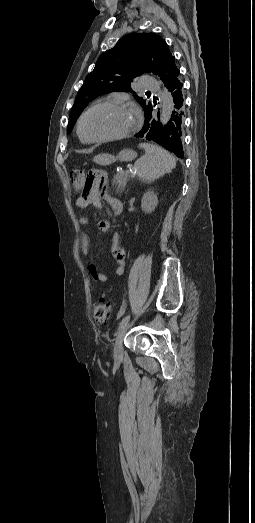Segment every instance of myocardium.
<instances>
[{
  "label": "myocardium",
  "instance_id": "1",
  "mask_svg": "<svg viewBox=\"0 0 255 523\" xmlns=\"http://www.w3.org/2000/svg\"><path fill=\"white\" fill-rule=\"evenodd\" d=\"M99 106H130V107H132L135 110L136 116H137L134 126L129 131H127V132H125L123 134H120V135L112 136V137L101 138V139H88V138H85L84 135H83V132H82L83 120H84L85 116L92 109H94L96 107H99ZM141 124H142V116H141L137 106L133 102H131V101H122V100L101 101V102H97V103L89 106L81 114V116L79 118V121H78V125H77V132H78V135L80 136V138L83 141L88 142V143L101 144V143H107V142L118 141V140L129 138V137L133 136L135 133H137V131L139 130Z\"/></svg>",
  "mask_w": 255,
  "mask_h": 523
}]
</instances>
